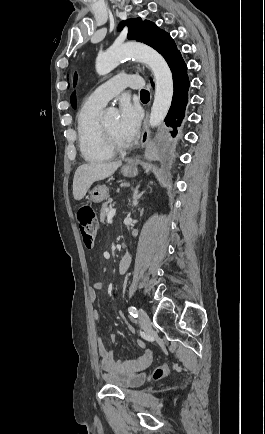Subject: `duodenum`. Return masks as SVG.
Listing matches in <instances>:
<instances>
[{
    "label": "duodenum",
    "instance_id": "1",
    "mask_svg": "<svg viewBox=\"0 0 265 434\" xmlns=\"http://www.w3.org/2000/svg\"><path fill=\"white\" fill-rule=\"evenodd\" d=\"M131 258H132L131 253L127 252L119 259L117 264V274L124 275L127 272Z\"/></svg>",
    "mask_w": 265,
    "mask_h": 434
}]
</instances>
